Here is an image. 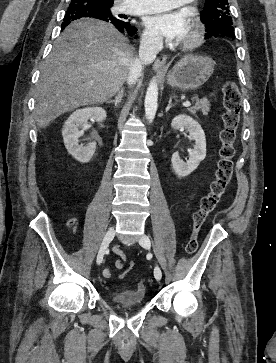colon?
Wrapping results in <instances>:
<instances>
[{"mask_svg": "<svg viewBox=\"0 0 276 363\" xmlns=\"http://www.w3.org/2000/svg\"><path fill=\"white\" fill-rule=\"evenodd\" d=\"M225 113L224 126L220 132V160L215 179L210 185L209 192L201 199L199 207L192 216V230L185 250L187 254H194L198 249V238L207 216L214 210L222 199L233 174V159L235 156L234 143L239 123V108L241 95L233 81H226L222 86ZM134 263L130 262L131 269Z\"/></svg>", "mask_w": 276, "mask_h": 363, "instance_id": "5ec220e1", "label": "colon"}]
</instances>
